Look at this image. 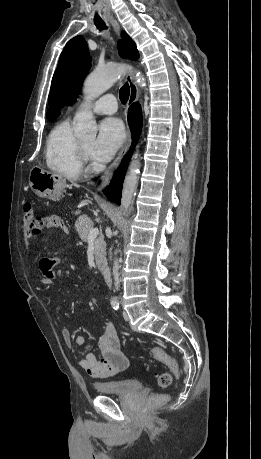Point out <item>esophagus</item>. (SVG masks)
Masks as SVG:
<instances>
[{"label": "esophagus", "instance_id": "34e87169", "mask_svg": "<svg viewBox=\"0 0 261 459\" xmlns=\"http://www.w3.org/2000/svg\"><path fill=\"white\" fill-rule=\"evenodd\" d=\"M110 22H111V25H112L114 31L116 32L117 36L119 37L120 36V32H121V28H120L119 23L113 18L110 19ZM126 82L129 84V88H130L128 105H131L134 102H136L138 100V97H139V90H138V87H137V85H136V83L134 81L133 73L131 71H129L127 73V75H126ZM130 145H131V135H130V132L128 130L127 138H126V140H125L120 152L118 153V155L115 158V160L111 163V165L105 170V172L103 173V175L101 177L102 184H101V188H99V189H102V188L106 187L110 183V180H111L115 170L118 168L122 158L126 155L127 151L129 150Z\"/></svg>", "mask_w": 261, "mask_h": 459}]
</instances>
